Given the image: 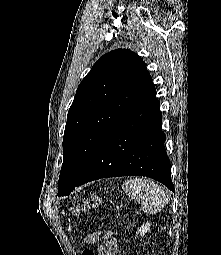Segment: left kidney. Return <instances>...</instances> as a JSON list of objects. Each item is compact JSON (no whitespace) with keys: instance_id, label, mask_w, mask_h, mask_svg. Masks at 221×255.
Returning a JSON list of instances; mask_svg holds the SVG:
<instances>
[{"instance_id":"1","label":"left kidney","mask_w":221,"mask_h":255,"mask_svg":"<svg viewBox=\"0 0 221 255\" xmlns=\"http://www.w3.org/2000/svg\"><path fill=\"white\" fill-rule=\"evenodd\" d=\"M150 230V223L146 222L144 224H142L140 226V228L138 229V233L140 234V236H143L145 233H147Z\"/></svg>"}]
</instances>
